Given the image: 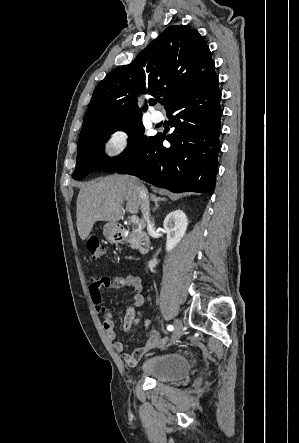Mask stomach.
Returning <instances> with one entry per match:
<instances>
[{"instance_id": "1", "label": "stomach", "mask_w": 299, "mask_h": 443, "mask_svg": "<svg viewBox=\"0 0 299 443\" xmlns=\"http://www.w3.org/2000/svg\"><path fill=\"white\" fill-rule=\"evenodd\" d=\"M117 224L108 223L103 228L104 237L111 243H115L117 238Z\"/></svg>"}]
</instances>
